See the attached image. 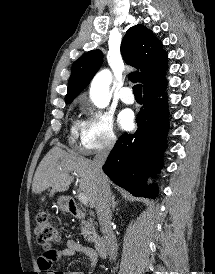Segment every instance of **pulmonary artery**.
<instances>
[{
  "mask_svg": "<svg viewBox=\"0 0 215 274\" xmlns=\"http://www.w3.org/2000/svg\"><path fill=\"white\" fill-rule=\"evenodd\" d=\"M119 97L125 104H133L135 101L132 90L129 87H123L119 92Z\"/></svg>",
  "mask_w": 215,
  "mask_h": 274,
  "instance_id": "e3ab8cb5",
  "label": "pulmonary artery"
}]
</instances>
